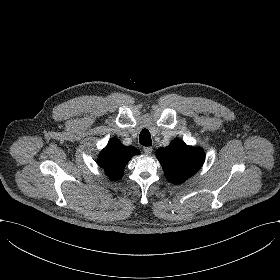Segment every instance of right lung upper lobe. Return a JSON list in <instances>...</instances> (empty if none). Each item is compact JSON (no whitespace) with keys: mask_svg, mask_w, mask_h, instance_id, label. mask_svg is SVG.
Segmentation results:
<instances>
[{"mask_svg":"<svg viewBox=\"0 0 280 280\" xmlns=\"http://www.w3.org/2000/svg\"><path fill=\"white\" fill-rule=\"evenodd\" d=\"M140 152L134 147L123 145L117 138H112L98 157V165L105 170L110 180H119L128 161Z\"/></svg>","mask_w":280,"mask_h":280,"instance_id":"cb5924a9","label":"right lung upper lobe"}]
</instances>
